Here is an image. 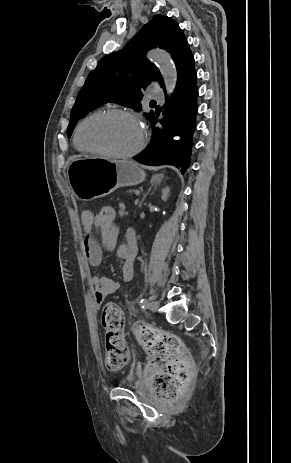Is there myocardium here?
I'll return each mask as SVG.
<instances>
[{"mask_svg":"<svg viewBox=\"0 0 291 463\" xmlns=\"http://www.w3.org/2000/svg\"><path fill=\"white\" fill-rule=\"evenodd\" d=\"M111 115H122V116L128 117L133 122H135L137 124V126L139 127V129H140V140H139L138 144L136 145V147L133 148L132 150L127 151V152H112V151H109V150L100 149V148H94V147L88 146L87 144H85L82 141V139H81V131H82V128L84 127V125L88 121H90L91 119L96 118V117L111 116ZM146 141H147V131H146V128H145L144 124L142 123L140 118L133 111L125 109V108H111V109H107V110L94 112V113L88 115L86 118H84L79 123V125H78V127L76 129V132H75V143L80 149H82V150H84L86 152H89V153L103 155V156L111 157V158H131V157H133V156H135V155H137L138 153L141 152V150L144 148V146L146 144Z\"/></svg>","mask_w":291,"mask_h":463,"instance_id":"myocardium-1","label":"myocardium"}]
</instances>
